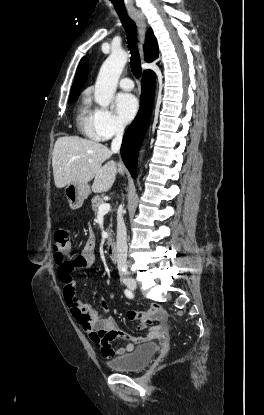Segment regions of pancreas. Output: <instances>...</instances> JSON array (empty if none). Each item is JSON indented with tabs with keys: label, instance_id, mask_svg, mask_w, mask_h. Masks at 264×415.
<instances>
[{
	"label": "pancreas",
	"instance_id": "obj_1",
	"mask_svg": "<svg viewBox=\"0 0 264 415\" xmlns=\"http://www.w3.org/2000/svg\"><path fill=\"white\" fill-rule=\"evenodd\" d=\"M91 203H92V209H93V211L95 213H97L98 212V209H99V206L101 204H104V201H103V199L100 196L97 195V196H95V197L92 198ZM108 231H109V234L111 235V230L109 229ZM110 241H111V238L108 239V243Z\"/></svg>",
	"mask_w": 264,
	"mask_h": 415
}]
</instances>
